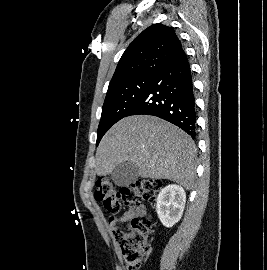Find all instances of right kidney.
<instances>
[{
	"mask_svg": "<svg viewBox=\"0 0 267 270\" xmlns=\"http://www.w3.org/2000/svg\"><path fill=\"white\" fill-rule=\"evenodd\" d=\"M156 202L158 218L165 227L169 228L181 219L186 203V193L181 186L171 184L160 191Z\"/></svg>",
	"mask_w": 267,
	"mask_h": 270,
	"instance_id": "obj_1",
	"label": "right kidney"
}]
</instances>
